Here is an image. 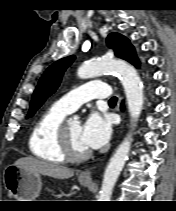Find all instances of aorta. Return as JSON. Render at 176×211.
<instances>
[{"mask_svg":"<svg viewBox=\"0 0 176 211\" xmlns=\"http://www.w3.org/2000/svg\"><path fill=\"white\" fill-rule=\"evenodd\" d=\"M109 72L119 75L125 90L131 120L136 122L142 111L144 95L142 81L134 67L122 61L102 58L82 64L77 70V75L82 79H88ZM131 142L132 136L129 134L110 158L104 172L98 201H110L115 183L128 158Z\"/></svg>","mask_w":176,"mask_h":211,"instance_id":"aorta-1","label":"aorta"}]
</instances>
